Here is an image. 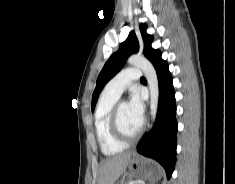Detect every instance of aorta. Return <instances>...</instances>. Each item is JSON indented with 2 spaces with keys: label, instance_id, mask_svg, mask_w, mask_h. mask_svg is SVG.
Listing matches in <instances>:
<instances>
[{
  "label": "aorta",
  "instance_id": "obj_1",
  "mask_svg": "<svg viewBox=\"0 0 235 184\" xmlns=\"http://www.w3.org/2000/svg\"><path fill=\"white\" fill-rule=\"evenodd\" d=\"M128 64H130V66H133V68H140V70L144 72V76H146V80L148 82L150 90V116L152 122H155L159 102V86L157 74L152 64H150L149 60H146V58H142V56H130Z\"/></svg>",
  "mask_w": 235,
  "mask_h": 184
}]
</instances>
